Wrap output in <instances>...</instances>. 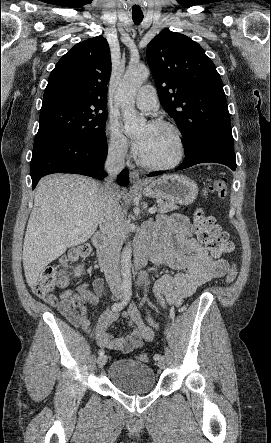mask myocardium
<instances>
[{"label":"myocardium","mask_w":271,"mask_h":443,"mask_svg":"<svg viewBox=\"0 0 271 443\" xmlns=\"http://www.w3.org/2000/svg\"><path fill=\"white\" fill-rule=\"evenodd\" d=\"M150 125L159 126V127H167L169 129H171L174 132L177 143H178V153L173 160H171L170 162H167V163H153V162L146 160L145 158H143L141 156V154H139V161H140L141 165L147 169L155 170V171L169 170V169H172V168L178 166L184 160L185 155H186V144H185V139H184L181 129L173 122H170L167 120H162V119H155V120L151 121Z\"/></svg>","instance_id":"myocardium-1"}]
</instances>
